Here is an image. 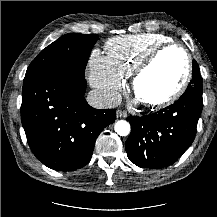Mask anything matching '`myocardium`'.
I'll return each mask as SVG.
<instances>
[{
    "label": "myocardium",
    "instance_id": "f54148a6",
    "mask_svg": "<svg viewBox=\"0 0 217 217\" xmlns=\"http://www.w3.org/2000/svg\"><path fill=\"white\" fill-rule=\"evenodd\" d=\"M177 49L180 50L186 59V73L185 76L178 86V88L172 92L171 94L157 100H141L145 105L149 107L161 108L167 105H170L180 99L183 94L186 92L193 76V62L192 57L189 51L181 44L178 43H167L160 47H157L153 51H151L147 57L137 66L131 76V89L133 93L137 96L136 88L139 79L143 76V74L152 66V64L157 60V58L164 52ZM138 97V96H137Z\"/></svg>",
    "mask_w": 217,
    "mask_h": 217
}]
</instances>
